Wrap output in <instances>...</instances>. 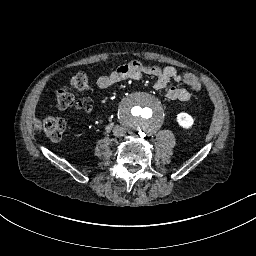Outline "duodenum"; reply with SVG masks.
<instances>
[{
	"mask_svg": "<svg viewBox=\"0 0 256 256\" xmlns=\"http://www.w3.org/2000/svg\"><path fill=\"white\" fill-rule=\"evenodd\" d=\"M112 125H113L112 123L107 124V125H106V130H107V131H110L111 128H112Z\"/></svg>",
	"mask_w": 256,
	"mask_h": 256,
	"instance_id": "duodenum-1",
	"label": "duodenum"
}]
</instances>
